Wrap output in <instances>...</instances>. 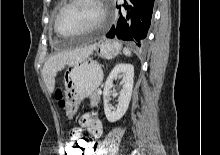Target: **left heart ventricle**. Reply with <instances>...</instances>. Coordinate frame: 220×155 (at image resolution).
<instances>
[{
	"mask_svg": "<svg viewBox=\"0 0 220 155\" xmlns=\"http://www.w3.org/2000/svg\"><path fill=\"white\" fill-rule=\"evenodd\" d=\"M99 16L100 10L92 0H79L61 13L58 29L63 34L75 33L94 24Z\"/></svg>",
	"mask_w": 220,
	"mask_h": 155,
	"instance_id": "1",
	"label": "left heart ventricle"
}]
</instances>
